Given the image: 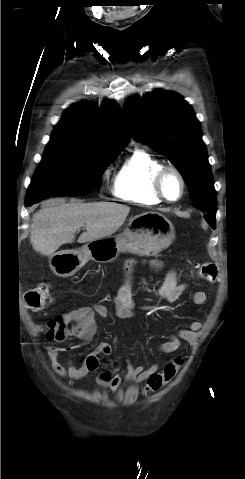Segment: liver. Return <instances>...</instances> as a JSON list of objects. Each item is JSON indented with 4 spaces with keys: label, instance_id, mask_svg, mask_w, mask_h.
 <instances>
[{
    "label": "liver",
    "instance_id": "obj_1",
    "mask_svg": "<svg viewBox=\"0 0 245 479\" xmlns=\"http://www.w3.org/2000/svg\"><path fill=\"white\" fill-rule=\"evenodd\" d=\"M130 207L114 202L66 203L56 200L32 217L30 241L42 255L51 257L63 244L73 243L75 234L86 227L78 243L114 234L124 223Z\"/></svg>",
    "mask_w": 245,
    "mask_h": 479
}]
</instances>
